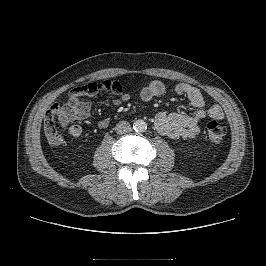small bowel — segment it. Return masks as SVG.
<instances>
[{"instance_id":"1","label":"small bowel","mask_w":266,"mask_h":266,"mask_svg":"<svg viewBox=\"0 0 266 266\" xmlns=\"http://www.w3.org/2000/svg\"><path fill=\"white\" fill-rule=\"evenodd\" d=\"M165 89V85L161 81L154 80L141 90L140 97L143 101L147 102L164 94ZM174 91L189 101L190 105L194 108V112L191 115L180 112L158 113L155 117L154 125L160 134L171 139H190L199 133L200 124L205 118L220 120L224 117L220 106L205 107L203 95L196 87L181 82L176 84ZM129 99L128 93L120 92L112 104L117 106L127 102ZM51 111L61 127L66 129L69 136L80 138L83 133L82 128L71 123L87 119L91 113V104L80 96H70L67 102L55 105ZM110 121L111 117L108 116L99 120L97 125L100 128H104L109 125ZM44 130L50 144L60 145L63 143L64 137L55 128L49 131L45 126Z\"/></svg>"}]
</instances>
